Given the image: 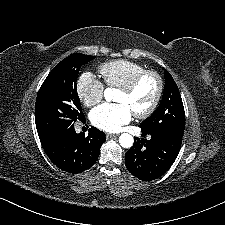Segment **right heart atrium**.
Here are the masks:
<instances>
[{
	"label": "right heart atrium",
	"mask_w": 225,
	"mask_h": 225,
	"mask_svg": "<svg viewBox=\"0 0 225 225\" xmlns=\"http://www.w3.org/2000/svg\"><path fill=\"white\" fill-rule=\"evenodd\" d=\"M76 91L81 102L91 107L102 100L104 84L94 73L85 71L77 80Z\"/></svg>",
	"instance_id": "1"
}]
</instances>
